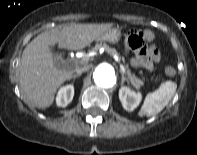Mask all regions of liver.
Listing matches in <instances>:
<instances>
[{
    "instance_id": "obj_1",
    "label": "liver",
    "mask_w": 197,
    "mask_h": 155,
    "mask_svg": "<svg viewBox=\"0 0 197 155\" xmlns=\"http://www.w3.org/2000/svg\"><path fill=\"white\" fill-rule=\"evenodd\" d=\"M112 24H70L39 34L24 49L18 67L22 94L41 108L53 104L57 89L73 76L74 70L57 67L50 46L80 50L89 46Z\"/></svg>"
}]
</instances>
